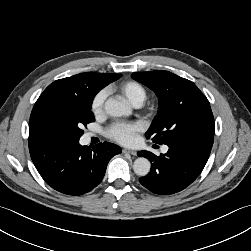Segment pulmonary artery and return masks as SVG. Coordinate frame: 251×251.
<instances>
[{
    "label": "pulmonary artery",
    "instance_id": "obj_1",
    "mask_svg": "<svg viewBox=\"0 0 251 251\" xmlns=\"http://www.w3.org/2000/svg\"><path fill=\"white\" fill-rule=\"evenodd\" d=\"M137 106H138V105H137ZM90 136H91V134L87 135V137H90ZM167 150H168V148H167L166 146L162 148V151H163V152H167Z\"/></svg>",
    "mask_w": 251,
    "mask_h": 251
}]
</instances>
